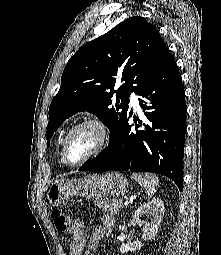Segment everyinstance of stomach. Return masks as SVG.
<instances>
[{"label": "stomach", "mask_w": 221, "mask_h": 255, "mask_svg": "<svg viewBox=\"0 0 221 255\" xmlns=\"http://www.w3.org/2000/svg\"><path fill=\"white\" fill-rule=\"evenodd\" d=\"M129 187L127 179L117 172L89 174L77 180H56L48 188L47 199L52 206H63L76 195L88 200H99L107 196L124 195Z\"/></svg>", "instance_id": "1"}]
</instances>
